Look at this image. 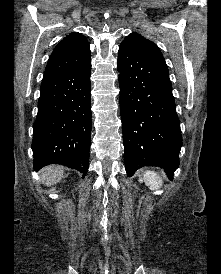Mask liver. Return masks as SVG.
I'll return each mask as SVG.
<instances>
[{"instance_id":"6515ba94","label":"liver","mask_w":221,"mask_h":274,"mask_svg":"<svg viewBox=\"0 0 221 274\" xmlns=\"http://www.w3.org/2000/svg\"><path fill=\"white\" fill-rule=\"evenodd\" d=\"M63 174V168L57 165L47 166L40 171L41 181L46 186L58 183L62 179Z\"/></svg>"}]
</instances>
